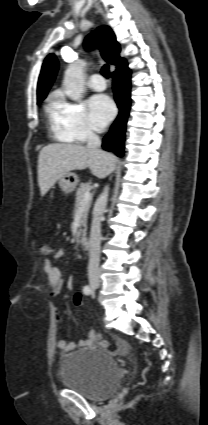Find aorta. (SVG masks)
I'll list each match as a JSON object with an SVG mask.
<instances>
[{"label":"aorta","mask_w":208,"mask_h":425,"mask_svg":"<svg viewBox=\"0 0 208 425\" xmlns=\"http://www.w3.org/2000/svg\"><path fill=\"white\" fill-rule=\"evenodd\" d=\"M84 66L85 62L79 60L70 64L65 71L63 79L65 94L74 101H78L82 97Z\"/></svg>","instance_id":"aorta-1"}]
</instances>
